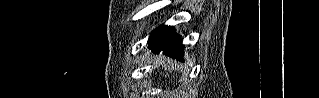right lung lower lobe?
I'll use <instances>...</instances> for the list:
<instances>
[{
	"instance_id": "1",
	"label": "right lung lower lobe",
	"mask_w": 319,
	"mask_h": 98,
	"mask_svg": "<svg viewBox=\"0 0 319 98\" xmlns=\"http://www.w3.org/2000/svg\"><path fill=\"white\" fill-rule=\"evenodd\" d=\"M148 43L153 52L159 53L162 50L172 57L181 58L183 56L182 40L175 34L173 27H158L152 32Z\"/></svg>"
}]
</instances>
